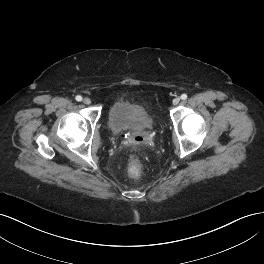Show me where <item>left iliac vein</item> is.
Masks as SVG:
<instances>
[{
	"instance_id": "4c4485c4",
	"label": "left iliac vein",
	"mask_w": 264,
	"mask_h": 264,
	"mask_svg": "<svg viewBox=\"0 0 264 264\" xmlns=\"http://www.w3.org/2000/svg\"><path fill=\"white\" fill-rule=\"evenodd\" d=\"M179 102H180V98L179 97H176V98L173 99V104L174 105L179 104Z\"/></svg>"
}]
</instances>
